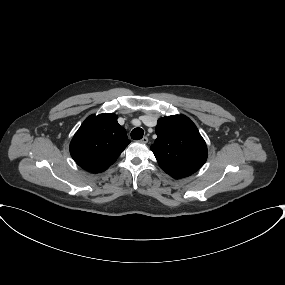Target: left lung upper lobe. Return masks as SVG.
Segmentation results:
<instances>
[{"instance_id": "1", "label": "left lung upper lobe", "mask_w": 285, "mask_h": 285, "mask_svg": "<svg viewBox=\"0 0 285 285\" xmlns=\"http://www.w3.org/2000/svg\"><path fill=\"white\" fill-rule=\"evenodd\" d=\"M156 134L151 150L160 167L173 178L187 177L206 162V143L188 117L172 115L160 118Z\"/></svg>"}]
</instances>
